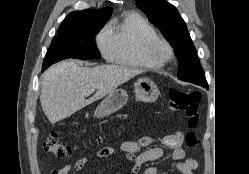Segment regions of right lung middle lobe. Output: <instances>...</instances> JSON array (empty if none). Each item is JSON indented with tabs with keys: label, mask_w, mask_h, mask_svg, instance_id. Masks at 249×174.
<instances>
[{
	"label": "right lung middle lobe",
	"mask_w": 249,
	"mask_h": 174,
	"mask_svg": "<svg viewBox=\"0 0 249 174\" xmlns=\"http://www.w3.org/2000/svg\"><path fill=\"white\" fill-rule=\"evenodd\" d=\"M105 23L106 21L94 22L81 28L58 31V36L53 38L45 55L42 71L63 59L87 60L100 58L95 43V35Z\"/></svg>",
	"instance_id": "obj_1"
}]
</instances>
